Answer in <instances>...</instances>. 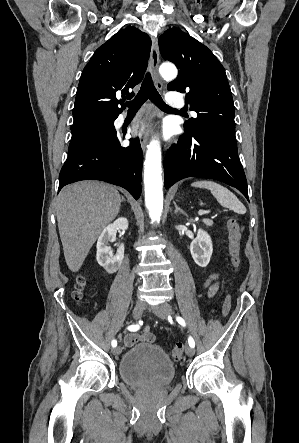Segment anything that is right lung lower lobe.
I'll return each instance as SVG.
<instances>
[{
    "label": "right lung lower lobe",
    "instance_id": "1",
    "mask_svg": "<svg viewBox=\"0 0 299 443\" xmlns=\"http://www.w3.org/2000/svg\"><path fill=\"white\" fill-rule=\"evenodd\" d=\"M114 120L118 115L112 116ZM116 131L107 138L93 141L66 159L60 175L58 192L80 180H101L128 190L138 199L141 194L143 153L138 139L122 147Z\"/></svg>",
    "mask_w": 299,
    "mask_h": 443
}]
</instances>
